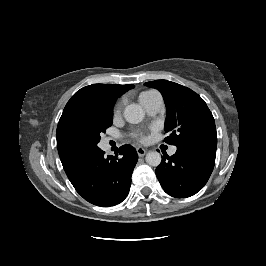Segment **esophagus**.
Segmentation results:
<instances>
[{
	"label": "esophagus",
	"instance_id": "obj_1",
	"mask_svg": "<svg viewBox=\"0 0 266 266\" xmlns=\"http://www.w3.org/2000/svg\"><path fill=\"white\" fill-rule=\"evenodd\" d=\"M136 151L139 157H143L147 153V150L142 147H137Z\"/></svg>",
	"mask_w": 266,
	"mask_h": 266
}]
</instances>
